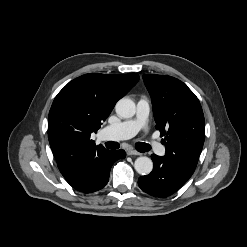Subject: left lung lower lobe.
<instances>
[{"label":"left lung lower lobe","instance_id":"obj_1","mask_svg":"<svg viewBox=\"0 0 247 247\" xmlns=\"http://www.w3.org/2000/svg\"><path fill=\"white\" fill-rule=\"evenodd\" d=\"M153 170L139 178L138 185L146 193L156 197H167L174 193L191 177L192 171L176 160L166 156L151 155Z\"/></svg>","mask_w":247,"mask_h":247}]
</instances>
